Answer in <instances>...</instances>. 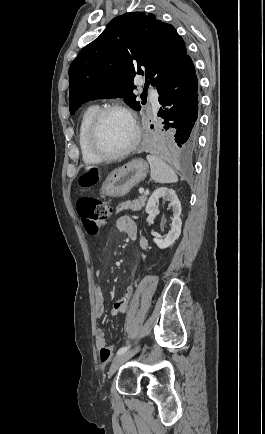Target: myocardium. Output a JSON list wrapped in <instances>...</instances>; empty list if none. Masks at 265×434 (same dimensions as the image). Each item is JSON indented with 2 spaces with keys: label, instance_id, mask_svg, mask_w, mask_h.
<instances>
[{
  "label": "myocardium",
  "instance_id": "f54148a6",
  "mask_svg": "<svg viewBox=\"0 0 265 434\" xmlns=\"http://www.w3.org/2000/svg\"><path fill=\"white\" fill-rule=\"evenodd\" d=\"M113 112H121L127 115L130 120L133 123L134 129H135V137L133 140V143L129 148L126 150L119 152V153H112L109 150H107L102 141H101V135H102V124L104 121V118ZM141 140V130L138 125V122L133 115V113L125 106L122 105H106L97 111L95 114L92 124H91V132L89 136V141L92 149L94 152L101 157L105 161H116L121 160L129 155H131L139 146Z\"/></svg>",
  "mask_w": 265,
  "mask_h": 434
}]
</instances>
